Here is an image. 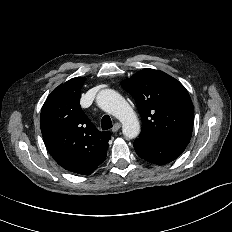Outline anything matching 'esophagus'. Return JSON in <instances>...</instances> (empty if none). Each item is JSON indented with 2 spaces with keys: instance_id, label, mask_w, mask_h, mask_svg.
<instances>
[{
  "instance_id": "1",
  "label": "esophagus",
  "mask_w": 232,
  "mask_h": 232,
  "mask_svg": "<svg viewBox=\"0 0 232 232\" xmlns=\"http://www.w3.org/2000/svg\"><path fill=\"white\" fill-rule=\"evenodd\" d=\"M121 125L119 123H115L112 127V132H117L120 129Z\"/></svg>"
}]
</instances>
